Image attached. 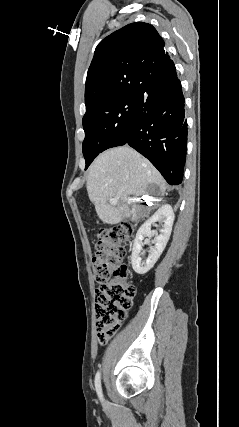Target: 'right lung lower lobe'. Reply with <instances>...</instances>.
Wrapping results in <instances>:
<instances>
[{
  "mask_svg": "<svg viewBox=\"0 0 239 427\" xmlns=\"http://www.w3.org/2000/svg\"><path fill=\"white\" fill-rule=\"evenodd\" d=\"M184 103L177 77L150 87L137 97L128 137L121 144L149 159L170 185L183 179L187 148Z\"/></svg>",
  "mask_w": 239,
  "mask_h": 427,
  "instance_id": "obj_1",
  "label": "right lung lower lobe"
}]
</instances>
